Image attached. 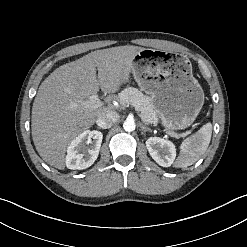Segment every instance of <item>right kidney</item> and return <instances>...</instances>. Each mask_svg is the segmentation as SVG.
<instances>
[{
	"label": "right kidney",
	"mask_w": 247,
	"mask_h": 247,
	"mask_svg": "<svg viewBox=\"0 0 247 247\" xmlns=\"http://www.w3.org/2000/svg\"><path fill=\"white\" fill-rule=\"evenodd\" d=\"M102 139L103 134L96 130L79 134L67 148V168L81 170L90 167L98 157ZM86 144H90V147H86Z\"/></svg>",
	"instance_id": "1"
}]
</instances>
